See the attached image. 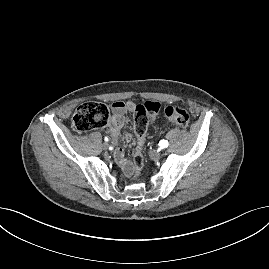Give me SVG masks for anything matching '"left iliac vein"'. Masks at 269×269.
I'll list each match as a JSON object with an SVG mask.
<instances>
[{"label":"left iliac vein","mask_w":269,"mask_h":269,"mask_svg":"<svg viewBox=\"0 0 269 269\" xmlns=\"http://www.w3.org/2000/svg\"><path fill=\"white\" fill-rule=\"evenodd\" d=\"M145 154L149 156L150 159H160V154H158L157 150H154L150 147L145 149Z\"/></svg>","instance_id":"obj_1"}]
</instances>
